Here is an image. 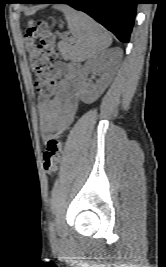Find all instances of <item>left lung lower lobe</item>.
<instances>
[{"instance_id":"1","label":"left lung lower lobe","mask_w":166,"mask_h":267,"mask_svg":"<svg viewBox=\"0 0 166 267\" xmlns=\"http://www.w3.org/2000/svg\"><path fill=\"white\" fill-rule=\"evenodd\" d=\"M21 3H64L81 10L124 42H129L138 0H23Z\"/></svg>"}]
</instances>
